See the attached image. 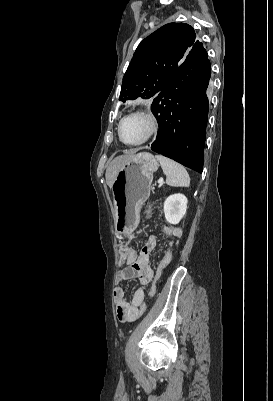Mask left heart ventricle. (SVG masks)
<instances>
[{
    "label": "left heart ventricle",
    "mask_w": 273,
    "mask_h": 401,
    "mask_svg": "<svg viewBox=\"0 0 273 401\" xmlns=\"http://www.w3.org/2000/svg\"><path fill=\"white\" fill-rule=\"evenodd\" d=\"M149 128V122L145 118L140 116L127 117L121 124V138L128 143L137 142L148 133Z\"/></svg>",
    "instance_id": "left-heart-ventricle-1"
}]
</instances>
